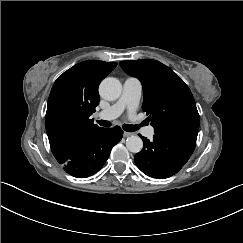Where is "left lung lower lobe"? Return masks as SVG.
Returning a JSON list of instances; mask_svg holds the SVG:
<instances>
[{"mask_svg": "<svg viewBox=\"0 0 243 243\" xmlns=\"http://www.w3.org/2000/svg\"><path fill=\"white\" fill-rule=\"evenodd\" d=\"M143 149L134 156L137 167L146 175L164 179L176 174L192 155L196 139L173 134L155 133L145 137Z\"/></svg>", "mask_w": 243, "mask_h": 243, "instance_id": "0a47b994", "label": "left lung lower lobe"}]
</instances>
